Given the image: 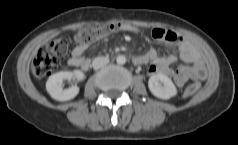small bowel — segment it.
<instances>
[{
    "instance_id": "small-bowel-1",
    "label": "small bowel",
    "mask_w": 238,
    "mask_h": 145,
    "mask_svg": "<svg viewBox=\"0 0 238 145\" xmlns=\"http://www.w3.org/2000/svg\"><path fill=\"white\" fill-rule=\"evenodd\" d=\"M118 29L135 34L141 33L138 27L127 23H121ZM148 35L154 41L176 45V51L167 55L161 56L155 49H150L146 53L136 56L138 58L137 65H148V75L163 74L171 76L177 87H183L188 80L197 81L206 77L207 70L200 53L189 42L183 40L181 32L171 28L152 27ZM84 50L85 47L83 46H75L71 52L68 64L82 70H87L90 66V61L83 57ZM178 56L191 66H182L178 70L173 71L171 64Z\"/></svg>"
}]
</instances>
